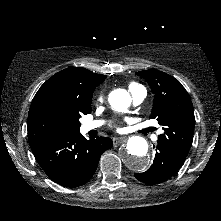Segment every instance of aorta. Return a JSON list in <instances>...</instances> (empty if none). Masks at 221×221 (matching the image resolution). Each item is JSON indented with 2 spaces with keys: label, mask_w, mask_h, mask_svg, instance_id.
I'll list each match as a JSON object with an SVG mask.
<instances>
[{
  "label": "aorta",
  "mask_w": 221,
  "mask_h": 221,
  "mask_svg": "<svg viewBox=\"0 0 221 221\" xmlns=\"http://www.w3.org/2000/svg\"><path fill=\"white\" fill-rule=\"evenodd\" d=\"M108 101L113 109L124 112L130 106L131 97L126 90L116 89L110 92ZM121 159L134 172L147 170L151 163L147 141L141 136L129 137L121 152Z\"/></svg>",
  "instance_id": "1"
}]
</instances>
